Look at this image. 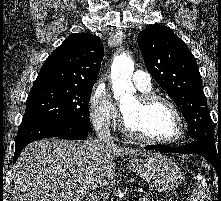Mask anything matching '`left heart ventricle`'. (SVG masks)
Instances as JSON below:
<instances>
[{
  "label": "left heart ventricle",
  "mask_w": 221,
  "mask_h": 201,
  "mask_svg": "<svg viewBox=\"0 0 221 201\" xmlns=\"http://www.w3.org/2000/svg\"><path fill=\"white\" fill-rule=\"evenodd\" d=\"M128 124L140 134L169 139L177 135L179 124L172 110L163 102L141 106L136 97L122 104Z\"/></svg>",
  "instance_id": "obj_1"
}]
</instances>
